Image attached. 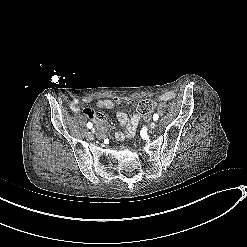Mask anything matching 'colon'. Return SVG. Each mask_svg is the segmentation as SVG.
<instances>
[{"mask_svg": "<svg viewBox=\"0 0 247 247\" xmlns=\"http://www.w3.org/2000/svg\"><path fill=\"white\" fill-rule=\"evenodd\" d=\"M155 107H156V103L154 101L147 100V99L139 101L137 105L138 112L141 115H146V114L153 112Z\"/></svg>", "mask_w": 247, "mask_h": 247, "instance_id": "obj_1", "label": "colon"}]
</instances>
